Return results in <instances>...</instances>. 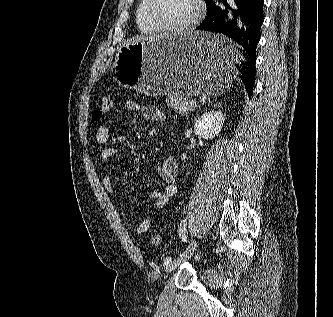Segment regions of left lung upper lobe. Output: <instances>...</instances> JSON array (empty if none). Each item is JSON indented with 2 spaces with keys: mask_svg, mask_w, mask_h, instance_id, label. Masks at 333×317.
<instances>
[{
  "mask_svg": "<svg viewBox=\"0 0 333 317\" xmlns=\"http://www.w3.org/2000/svg\"><path fill=\"white\" fill-rule=\"evenodd\" d=\"M212 0H205L206 4H209Z\"/></svg>",
  "mask_w": 333,
  "mask_h": 317,
  "instance_id": "1",
  "label": "left lung upper lobe"
}]
</instances>
